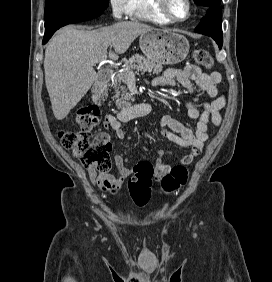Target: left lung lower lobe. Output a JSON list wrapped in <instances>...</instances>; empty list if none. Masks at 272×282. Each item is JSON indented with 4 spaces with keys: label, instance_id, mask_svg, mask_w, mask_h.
Returning <instances> with one entry per match:
<instances>
[{
    "label": "left lung lower lobe",
    "instance_id": "obj_1",
    "mask_svg": "<svg viewBox=\"0 0 272 282\" xmlns=\"http://www.w3.org/2000/svg\"><path fill=\"white\" fill-rule=\"evenodd\" d=\"M195 32L212 37L219 48L223 44L221 10L218 7H208L207 14L196 27Z\"/></svg>",
    "mask_w": 272,
    "mask_h": 282
}]
</instances>
